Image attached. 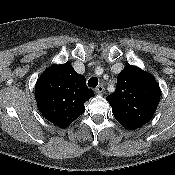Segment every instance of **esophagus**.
Segmentation results:
<instances>
[{
  "mask_svg": "<svg viewBox=\"0 0 175 175\" xmlns=\"http://www.w3.org/2000/svg\"><path fill=\"white\" fill-rule=\"evenodd\" d=\"M95 92L97 94H103L104 93V86L103 85H99L96 89H95Z\"/></svg>",
  "mask_w": 175,
  "mask_h": 175,
  "instance_id": "obj_1",
  "label": "esophagus"
}]
</instances>
